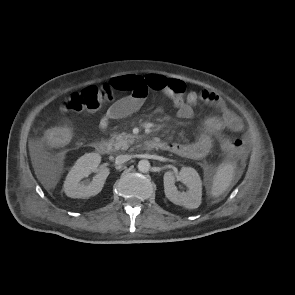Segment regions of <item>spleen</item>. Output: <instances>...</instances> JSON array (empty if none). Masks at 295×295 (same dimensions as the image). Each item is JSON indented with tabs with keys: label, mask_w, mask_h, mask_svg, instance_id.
<instances>
[{
	"label": "spleen",
	"mask_w": 295,
	"mask_h": 295,
	"mask_svg": "<svg viewBox=\"0 0 295 295\" xmlns=\"http://www.w3.org/2000/svg\"><path fill=\"white\" fill-rule=\"evenodd\" d=\"M235 173V165L231 162L220 165L214 175L211 196L218 197L230 186Z\"/></svg>",
	"instance_id": "obj_1"
}]
</instances>
